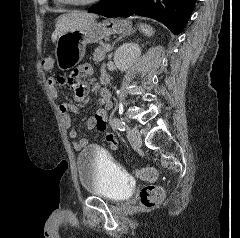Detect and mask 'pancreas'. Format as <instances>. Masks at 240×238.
I'll return each mask as SVG.
<instances>
[{"label": "pancreas", "mask_w": 240, "mask_h": 238, "mask_svg": "<svg viewBox=\"0 0 240 238\" xmlns=\"http://www.w3.org/2000/svg\"><path fill=\"white\" fill-rule=\"evenodd\" d=\"M107 44H104L102 47H99L97 49H95L94 53H93V59L96 62H100L103 61L106 57V51H105V46Z\"/></svg>", "instance_id": "pancreas-1"}]
</instances>
